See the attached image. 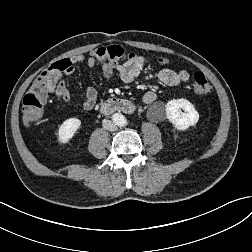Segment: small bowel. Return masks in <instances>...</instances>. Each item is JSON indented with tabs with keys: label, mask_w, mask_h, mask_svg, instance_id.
Masks as SVG:
<instances>
[{
	"label": "small bowel",
	"mask_w": 252,
	"mask_h": 252,
	"mask_svg": "<svg viewBox=\"0 0 252 252\" xmlns=\"http://www.w3.org/2000/svg\"><path fill=\"white\" fill-rule=\"evenodd\" d=\"M86 60L84 55H77L68 59L70 62V68L65 71L66 74H72L74 72V64L82 63ZM146 58L138 56L133 60L127 61L124 64L117 65L115 68L112 65L103 64L102 72L106 79L112 77L114 70H116L122 81L125 83L132 82L142 71L146 64ZM96 61L93 57L88 58L87 64L89 67H94ZM158 79L168 87H176L181 83H187L190 79V75L187 71H175L171 69H161L157 72ZM48 91L54 94L59 101L68 102L71 98L70 91L67 84L64 81H59L55 85L51 86ZM157 98L154 91H147L142 96V102L145 105L152 104ZM97 102V92L94 88L88 87L85 91V101L83 107L85 109H91Z\"/></svg>",
	"instance_id": "1"
}]
</instances>
